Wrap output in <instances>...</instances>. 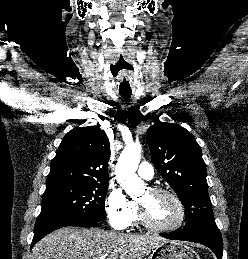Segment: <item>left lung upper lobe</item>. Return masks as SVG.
Segmentation results:
<instances>
[{
    "mask_svg": "<svg viewBox=\"0 0 248 259\" xmlns=\"http://www.w3.org/2000/svg\"><path fill=\"white\" fill-rule=\"evenodd\" d=\"M146 140L156 170L170 184L185 207L189 231L215 224L200 146L185 128L172 123L152 125Z\"/></svg>",
    "mask_w": 248,
    "mask_h": 259,
    "instance_id": "5c2ea615",
    "label": "left lung upper lobe"
}]
</instances>
